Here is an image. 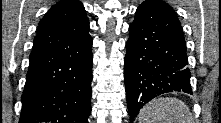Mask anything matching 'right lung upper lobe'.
<instances>
[{
  "mask_svg": "<svg viewBox=\"0 0 221 123\" xmlns=\"http://www.w3.org/2000/svg\"><path fill=\"white\" fill-rule=\"evenodd\" d=\"M89 31V21L82 3L65 0L53 5L39 22L34 47L60 45L79 39Z\"/></svg>",
  "mask_w": 221,
  "mask_h": 123,
  "instance_id": "cb5924a9",
  "label": "right lung upper lobe"
}]
</instances>
